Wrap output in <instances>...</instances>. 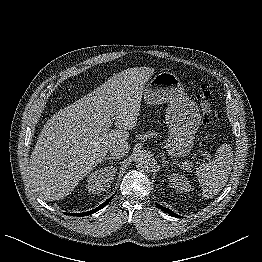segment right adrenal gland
Returning <instances> with one entry per match:
<instances>
[{
    "label": "right adrenal gland",
    "mask_w": 262,
    "mask_h": 262,
    "mask_svg": "<svg viewBox=\"0 0 262 262\" xmlns=\"http://www.w3.org/2000/svg\"><path fill=\"white\" fill-rule=\"evenodd\" d=\"M116 159H117V158L112 157V156H108V157L105 158V160H109L110 163H112V164H113V161L116 160Z\"/></svg>",
    "instance_id": "2a0ac1e0"
}]
</instances>
